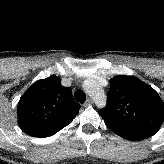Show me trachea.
Here are the masks:
<instances>
[{
	"label": "trachea",
	"mask_w": 164,
	"mask_h": 164,
	"mask_svg": "<svg viewBox=\"0 0 164 164\" xmlns=\"http://www.w3.org/2000/svg\"><path fill=\"white\" fill-rule=\"evenodd\" d=\"M74 98L80 103H84L86 101V95L81 89H77L75 91Z\"/></svg>",
	"instance_id": "trachea-1"
}]
</instances>
